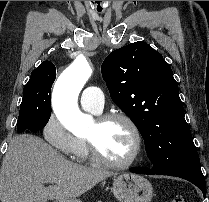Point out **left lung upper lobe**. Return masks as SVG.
<instances>
[{"label": "left lung upper lobe", "mask_w": 209, "mask_h": 202, "mask_svg": "<svg viewBox=\"0 0 209 202\" xmlns=\"http://www.w3.org/2000/svg\"><path fill=\"white\" fill-rule=\"evenodd\" d=\"M112 100L135 123L153 169L169 171L197 152L172 69L145 42L111 52L101 66Z\"/></svg>", "instance_id": "obj_1"}]
</instances>
